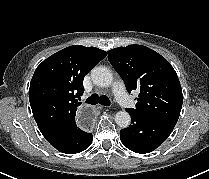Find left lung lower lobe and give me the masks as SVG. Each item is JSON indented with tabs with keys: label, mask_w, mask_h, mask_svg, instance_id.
Listing matches in <instances>:
<instances>
[{
	"label": "left lung lower lobe",
	"mask_w": 209,
	"mask_h": 179,
	"mask_svg": "<svg viewBox=\"0 0 209 179\" xmlns=\"http://www.w3.org/2000/svg\"><path fill=\"white\" fill-rule=\"evenodd\" d=\"M132 124L120 130L125 147L136 153H149L159 147L171 134L175 124L153 119L127 109Z\"/></svg>",
	"instance_id": "1"
}]
</instances>
